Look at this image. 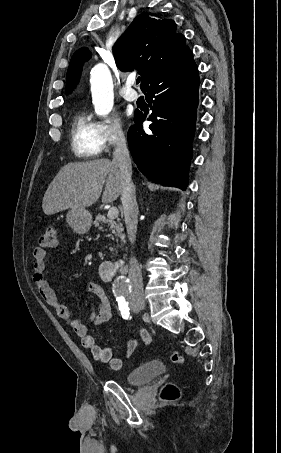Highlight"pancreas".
Returning a JSON list of instances; mask_svg holds the SVG:
<instances>
[{
	"label": "pancreas",
	"mask_w": 281,
	"mask_h": 453,
	"mask_svg": "<svg viewBox=\"0 0 281 453\" xmlns=\"http://www.w3.org/2000/svg\"><path fill=\"white\" fill-rule=\"evenodd\" d=\"M99 222L100 224H108V229L115 235V237H118V239H121V241H125V235H124V229H123V224L120 222V218H116V220H111V218H106L105 214H97L96 220H94V224H96V227H99ZM100 229H103V227H100ZM113 235H109V237H113Z\"/></svg>",
	"instance_id": "pancreas-1"
}]
</instances>
